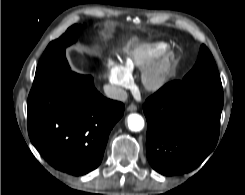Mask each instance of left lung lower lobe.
I'll return each instance as SVG.
<instances>
[{
    "mask_svg": "<svg viewBox=\"0 0 245 195\" xmlns=\"http://www.w3.org/2000/svg\"><path fill=\"white\" fill-rule=\"evenodd\" d=\"M223 91L172 81L144 103L146 151L151 166L166 176L198 167L214 149Z\"/></svg>",
    "mask_w": 245,
    "mask_h": 195,
    "instance_id": "1",
    "label": "left lung lower lobe"
}]
</instances>
